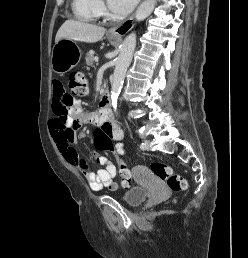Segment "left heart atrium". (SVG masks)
Returning <instances> with one entry per match:
<instances>
[{
  "mask_svg": "<svg viewBox=\"0 0 248 258\" xmlns=\"http://www.w3.org/2000/svg\"><path fill=\"white\" fill-rule=\"evenodd\" d=\"M139 0H108L109 8L118 16L128 14Z\"/></svg>",
  "mask_w": 248,
  "mask_h": 258,
  "instance_id": "left-heart-atrium-1",
  "label": "left heart atrium"
}]
</instances>
